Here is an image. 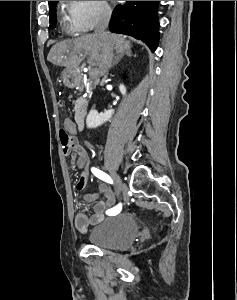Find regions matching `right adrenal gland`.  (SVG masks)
<instances>
[{"label": "right adrenal gland", "mask_w": 237, "mask_h": 300, "mask_svg": "<svg viewBox=\"0 0 237 300\" xmlns=\"http://www.w3.org/2000/svg\"><path fill=\"white\" fill-rule=\"evenodd\" d=\"M127 57H131V53H130V49H127V51H125ZM122 55H118V57H116L113 65H117V63H119L120 59H121Z\"/></svg>", "instance_id": "right-adrenal-gland-1"}]
</instances>
